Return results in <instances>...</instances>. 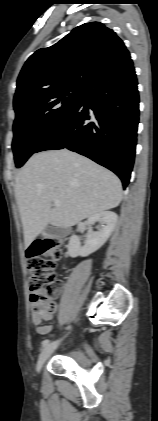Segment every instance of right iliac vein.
<instances>
[{
  "label": "right iliac vein",
  "instance_id": "1",
  "mask_svg": "<svg viewBox=\"0 0 158 421\" xmlns=\"http://www.w3.org/2000/svg\"><path fill=\"white\" fill-rule=\"evenodd\" d=\"M61 340H56L48 344L40 353L37 364H36V370L37 372H40L44 363L46 360L50 357V355L54 352V350L58 347Z\"/></svg>",
  "mask_w": 158,
  "mask_h": 421
}]
</instances>
